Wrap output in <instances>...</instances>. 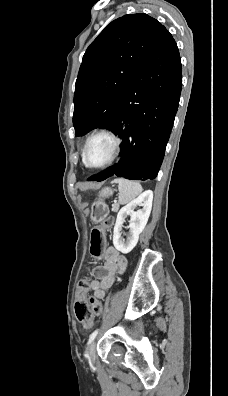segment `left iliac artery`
Masks as SVG:
<instances>
[{
	"instance_id": "44dca946",
	"label": "left iliac artery",
	"mask_w": 228,
	"mask_h": 396,
	"mask_svg": "<svg viewBox=\"0 0 228 396\" xmlns=\"http://www.w3.org/2000/svg\"><path fill=\"white\" fill-rule=\"evenodd\" d=\"M97 334H98V329H96L95 331L92 332V334L90 335L89 340H88V345L94 340V338L96 337Z\"/></svg>"
}]
</instances>
